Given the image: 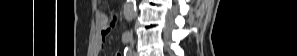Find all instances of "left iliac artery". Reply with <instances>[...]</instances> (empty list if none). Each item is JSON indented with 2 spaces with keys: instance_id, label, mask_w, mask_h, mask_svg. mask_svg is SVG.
Segmentation results:
<instances>
[{
  "instance_id": "obj_1",
  "label": "left iliac artery",
  "mask_w": 297,
  "mask_h": 56,
  "mask_svg": "<svg viewBox=\"0 0 297 56\" xmlns=\"http://www.w3.org/2000/svg\"><path fill=\"white\" fill-rule=\"evenodd\" d=\"M131 55H132V50L126 47L124 50V56H131Z\"/></svg>"
}]
</instances>
